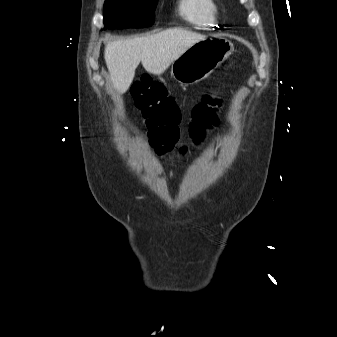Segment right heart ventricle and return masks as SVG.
<instances>
[{
    "label": "right heart ventricle",
    "mask_w": 337,
    "mask_h": 337,
    "mask_svg": "<svg viewBox=\"0 0 337 337\" xmlns=\"http://www.w3.org/2000/svg\"><path fill=\"white\" fill-rule=\"evenodd\" d=\"M178 11L197 28L210 29L218 25L220 9L216 0H180Z\"/></svg>",
    "instance_id": "obj_1"
}]
</instances>
